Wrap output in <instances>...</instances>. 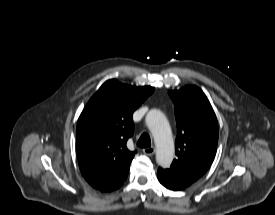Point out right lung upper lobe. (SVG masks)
I'll use <instances>...</instances> for the list:
<instances>
[{
	"label": "right lung upper lobe",
	"instance_id": "1",
	"mask_svg": "<svg viewBox=\"0 0 275 215\" xmlns=\"http://www.w3.org/2000/svg\"><path fill=\"white\" fill-rule=\"evenodd\" d=\"M154 87L106 81L82 111L76 129L79 167L96 189L116 186L127 178L135 155L126 147L133 134V112Z\"/></svg>",
	"mask_w": 275,
	"mask_h": 215
}]
</instances>
